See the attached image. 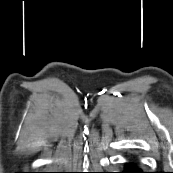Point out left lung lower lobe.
<instances>
[{"label": "left lung lower lobe", "mask_w": 173, "mask_h": 173, "mask_svg": "<svg viewBox=\"0 0 173 173\" xmlns=\"http://www.w3.org/2000/svg\"><path fill=\"white\" fill-rule=\"evenodd\" d=\"M125 171L122 173H144L141 171V169L138 167V165L130 160L128 163L125 165Z\"/></svg>", "instance_id": "0a47b994"}]
</instances>
